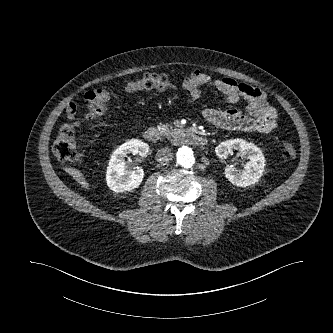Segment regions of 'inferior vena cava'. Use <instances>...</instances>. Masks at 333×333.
I'll use <instances>...</instances> for the list:
<instances>
[{"mask_svg": "<svg viewBox=\"0 0 333 333\" xmlns=\"http://www.w3.org/2000/svg\"><path fill=\"white\" fill-rule=\"evenodd\" d=\"M173 153L169 148H162L156 153V160L159 163H165L172 160Z\"/></svg>", "mask_w": 333, "mask_h": 333, "instance_id": "1", "label": "inferior vena cava"}]
</instances>
